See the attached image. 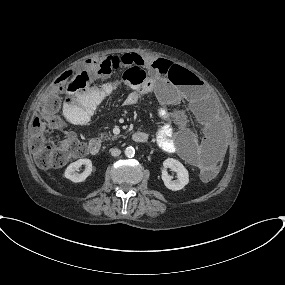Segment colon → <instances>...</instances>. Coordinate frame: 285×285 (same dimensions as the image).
I'll list each match as a JSON object with an SVG mask.
<instances>
[{
  "label": "colon",
  "instance_id": "1",
  "mask_svg": "<svg viewBox=\"0 0 285 285\" xmlns=\"http://www.w3.org/2000/svg\"><path fill=\"white\" fill-rule=\"evenodd\" d=\"M122 65L125 68L120 78L123 84L139 90H143L148 85L146 62L124 63L120 57L112 55L105 59H91L78 72H65L56 80L53 89L40 102L38 114L31 124L29 144L32 157L38 166L42 168L60 167L73 159L86 155L85 144L76 137L58 140L51 135L61 126V120L58 117L61 96L67 92L82 89L94 79L113 75ZM153 65L178 86H186L191 79L189 71L168 60L158 59ZM220 167L221 162L217 160L211 166L203 168L201 170L202 179H212Z\"/></svg>",
  "mask_w": 285,
  "mask_h": 285
}]
</instances>
